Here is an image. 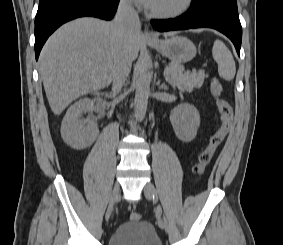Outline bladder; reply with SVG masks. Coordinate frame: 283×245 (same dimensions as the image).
<instances>
[{
  "mask_svg": "<svg viewBox=\"0 0 283 245\" xmlns=\"http://www.w3.org/2000/svg\"><path fill=\"white\" fill-rule=\"evenodd\" d=\"M108 245H163L155 227L147 221L120 224L110 235Z\"/></svg>",
  "mask_w": 283,
  "mask_h": 245,
  "instance_id": "31cf9c89",
  "label": "bladder"
}]
</instances>
